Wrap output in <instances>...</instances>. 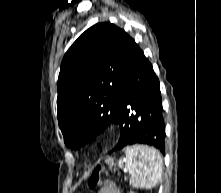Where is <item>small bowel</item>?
<instances>
[{
	"label": "small bowel",
	"mask_w": 221,
	"mask_h": 193,
	"mask_svg": "<svg viewBox=\"0 0 221 193\" xmlns=\"http://www.w3.org/2000/svg\"><path fill=\"white\" fill-rule=\"evenodd\" d=\"M98 193H119L117 187L110 182L105 183Z\"/></svg>",
	"instance_id": "obj_1"
}]
</instances>
